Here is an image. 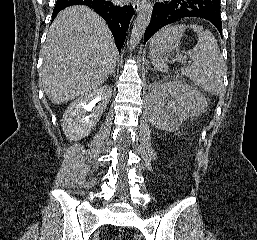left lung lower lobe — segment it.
<instances>
[{"mask_svg":"<svg viewBox=\"0 0 257 240\" xmlns=\"http://www.w3.org/2000/svg\"><path fill=\"white\" fill-rule=\"evenodd\" d=\"M188 17L209 21L222 36L220 0H164L153 7L151 20L144 34V43L162 27Z\"/></svg>","mask_w":257,"mask_h":240,"instance_id":"left-lung-lower-lobe-1","label":"left lung lower lobe"}]
</instances>
